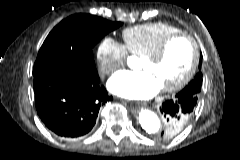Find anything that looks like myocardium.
I'll return each instance as SVG.
<instances>
[{
  "label": "myocardium",
  "instance_id": "obj_1",
  "mask_svg": "<svg viewBox=\"0 0 240 160\" xmlns=\"http://www.w3.org/2000/svg\"><path fill=\"white\" fill-rule=\"evenodd\" d=\"M176 39H185L191 46L192 49V60L189 66V69L185 73V75L175 84L161 88V91L164 93H173L180 91L183 89L194 77L200 59L199 48L195 39L185 33V32H176L166 36L158 45L157 47L150 53L146 54L142 57V60H149V61H159L163 58L168 46Z\"/></svg>",
  "mask_w": 240,
  "mask_h": 160
}]
</instances>
